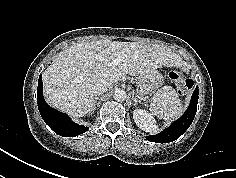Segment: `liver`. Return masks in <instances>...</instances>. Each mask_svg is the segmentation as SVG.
<instances>
[{
	"instance_id": "liver-1",
	"label": "liver",
	"mask_w": 236,
	"mask_h": 178,
	"mask_svg": "<svg viewBox=\"0 0 236 178\" xmlns=\"http://www.w3.org/2000/svg\"><path fill=\"white\" fill-rule=\"evenodd\" d=\"M119 56L123 62L110 66ZM181 63L176 53L155 44L108 39L81 42L60 52L46 68L44 97L52 107L78 118L91 111L98 84H113L126 74L141 76Z\"/></svg>"
}]
</instances>
